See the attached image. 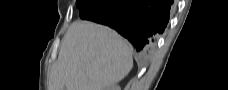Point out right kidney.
I'll return each mask as SVG.
<instances>
[{
	"mask_svg": "<svg viewBox=\"0 0 228 90\" xmlns=\"http://www.w3.org/2000/svg\"><path fill=\"white\" fill-rule=\"evenodd\" d=\"M121 88H120V86H118V85H113V86H111L110 88H106V90H120Z\"/></svg>",
	"mask_w": 228,
	"mask_h": 90,
	"instance_id": "ca27d5eb",
	"label": "right kidney"
}]
</instances>
